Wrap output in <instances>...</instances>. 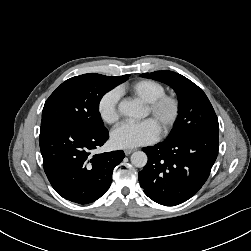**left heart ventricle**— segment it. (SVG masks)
Returning <instances> with one entry per match:
<instances>
[{
	"mask_svg": "<svg viewBox=\"0 0 251 251\" xmlns=\"http://www.w3.org/2000/svg\"><path fill=\"white\" fill-rule=\"evenodd\" d=\"M149 115L148 110H145V116ZM168 115V108H164L158 116L152 117V120L154 121L155 125L157 126L158 130L160 129L162 122Z\"/></svg>",
	"mask_w": 251,
	"mask_h": 251,
	"instance_id": "left-heart-ventricle-1",
	"label": "left heart ventricle"
}]
</instances>
